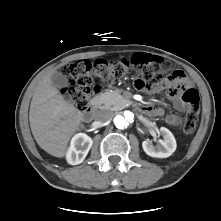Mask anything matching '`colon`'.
<instances>
[{
	"label": "colon",
	"instance_id": "obj_1",
	"mask_svg": "<svg viewBox=\"0 0 221 221\" xmlns=\"http://www.w3.org/2000/svg\"><path fill=\"white\" fill-rule=\"evenodd\" d=\"M130 68L137 70L139 78L136 81L138 89H147L162 83L169 64L159 56L138 53L131 60H105L94 62L80 60L67 65L64 73L68 85L63 89V97L79 110H86L91 94L94 78H121ZM182 100L188 105V113L183 125L185 135L194 133L199 112L200 100L196 89L177 84Z\"/></svg>",
	"mask_w": 221,
	"mask_h": 221
}]
</instances>
